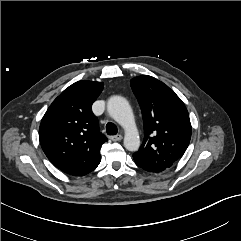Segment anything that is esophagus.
<instances>
[{"mask_svg": "<svg viewBox=\"0 0 241 241\" xmlns=\"http://www.w3.org/2000/svg\"><path fill=\"white\" fill-rule=\"evenodd\" d=\"M123 138V136L121 134L115 135V136H111L110 139L112 141H120Z\"/></svg>", "mask_w": 241, "mask_h": 241, "instance_id": "obj_1", "label": "esophagus"}]
</instances>
